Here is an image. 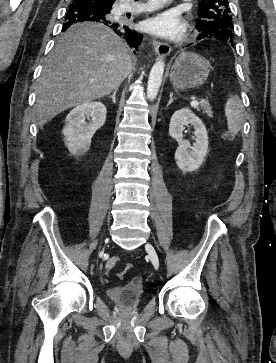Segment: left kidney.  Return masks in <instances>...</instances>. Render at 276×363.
<instances>
[{
	"instance_id": "5707ae66",
	"label": "left kidney",
	"mask_w": 276,
	"mask_h": 363,
	"mask_svg": "<svg viewBox=\"0 0 276 363\" xmlns=\"http://www.w3.org/2000/svg\"><path fill=\"white\" fill-rule=\"evenodd\" d=\"M189 124L195 130L196 138L193 145L185 140L183 135L185 126ZM169 134L178 143L175 160L179 169L183 172L197 170L208 152V133L201 119L188 108L177 110L170 119Z\"/></svg>"
}]
</instances>
